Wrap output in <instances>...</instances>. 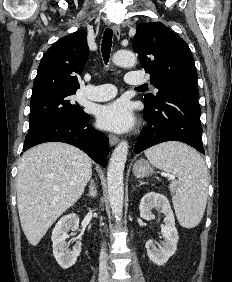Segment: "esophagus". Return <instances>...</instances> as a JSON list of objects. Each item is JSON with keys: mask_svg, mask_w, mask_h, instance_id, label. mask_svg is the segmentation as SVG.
Returning a JSON list of instances; mask_svg holds the SVG:
<instances>
[{"mask_svg": "<svg viewBox=\"0 0 232 282\" xmlns=\"http://www.w3.org/2000/svg\"><path fill=\"white\" fill-rule=\"evenodd\" d=\"M112 29H113V32H114V35L117 39H119L120 37V34H121V29H120V26L118 25H113L112 26ZM119 141V138L116 136V135H109V143L111 146H114L118 143Z\"/></svg>", "mask_w": 232, "mask_h": 282, "instance_id": "obj_1", "label": "esophagus"}]
</instances>
